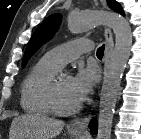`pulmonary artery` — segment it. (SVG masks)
<instances>
[{
    "instance_id": "pulmonary-artery-1",
    "label": "pulmonary artery",
    "mask_w": 141,
    "mask_h": 139,
    "mask_svg": "<svg viewBox=\"0 0 141 139\" xmlns=\"http://www.w3.org/2000/svg\"><path fill=\"white\" fill-rule=\"evenodd\" d=\"M93 49V43L90 40H74L59 45L45 54V58L51 63L61 68L68 62L73 61L83 53H88Z\"/></svg>"
}]
</instances>
